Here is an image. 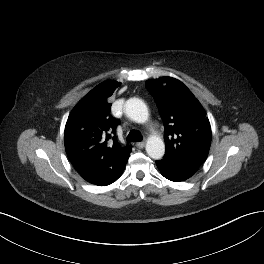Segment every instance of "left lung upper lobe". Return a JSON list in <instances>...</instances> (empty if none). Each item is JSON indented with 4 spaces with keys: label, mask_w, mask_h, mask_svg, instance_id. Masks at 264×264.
<instances>
[{
    "label": "left lung upper lobe",
    "mask_w": 264,
    "mask_h": 264,
    "mask_svg": "<svg viewBox=\"0 0 264 264\" xmlns=\"http://www.w3.org/2000/svg\"><path fill=\"white\" fill-rule=\"evenodd\" d=\"M164 122V160L198 169L211 144V127L206 112L179 80L161 77L146 82Z\"/></svg>",
    "instance_id": "obj_1"
}]
</instances>
